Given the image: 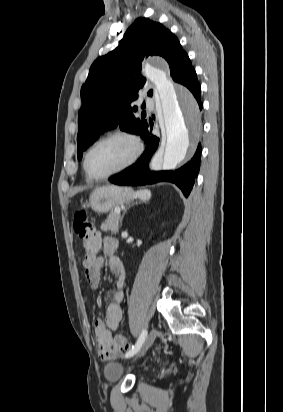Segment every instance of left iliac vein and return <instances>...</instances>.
<instances>
[{
  "mask_svg": "<svg viewBox=\"0 0 283 412\" xmlns=\"http://www.w3.org/2000/svg\"><path fill=\"white\" fill-rule=\"evenodd\" d=\"M157 336V329L153 328L148 335L146 336L141 348L138 350V352L136 353L135 358H138L142 355H144V353H146V351L150 348V346L153 344L155 338Z\"/></svg>",
  "mask_w": 283,
  "mask_h": 412,
  "instance_id": "left-iliac-vein-1",
  "label": "left iliac vein"
}]
</instances>
